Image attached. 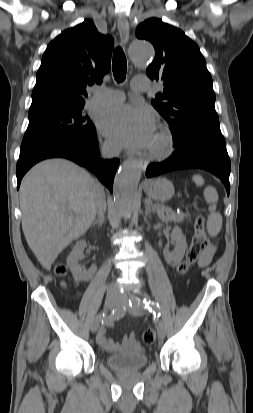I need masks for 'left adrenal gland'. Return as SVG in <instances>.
I'll use <instances>...</instances> for the list:
<instances>
[{
    "label": "left adrenal gland",
    "instance_id": "a2214340",
    "mask_svg": "<svg viewBox=\"0 0 253 413\" xmlns=\"http://www.w3.org/2000/svg\"><path fill=\"white\" fill-rule=\"evenodd\" d=\"M151 213H155V210L151 208L150 203H146L145 215H149Z\"/></svg>",
    "mask_w": 253,
    "mask_h": 413
}]
</instances>
